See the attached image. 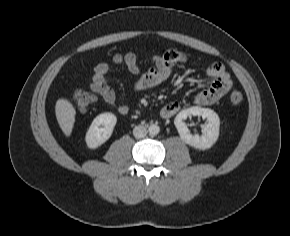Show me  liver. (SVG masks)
Returning <instances> with one entry per match:
<instances>
[{
    "label": "liver",
    "instance_id": "6515ba94",
    "mask_svg": "<svg viewBox=\"0 0 290 236\" xmlns=\"http://www.w3.org/2000/svg\"><path fill=\"white\" fill-rule=\"evenodd\" d=\"M58 124L66 136H70L75 122V108L64 98L58 99L55 105Z\"/></svg>",
    "mask_w": 290,
    "mask_h": 236
}]
</instances>
